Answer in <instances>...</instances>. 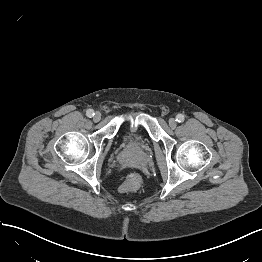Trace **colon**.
<instances>
[{"instance_id":"obj_1","label":"colon","mask_w":262,"mask_h":262,"mask_svg":"<svg viewBox=\"0 0 262 262\" xmlns=\"http://www.w3.org/2000/svg\"><path fill=\"white\" fill-rule=\"evenodd\" d=\"M141 186V178L137 173H131L126 181L120 186L119 191L121 193H127L136 191Z\"/></svg>"}]
</instances>
